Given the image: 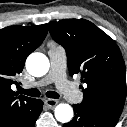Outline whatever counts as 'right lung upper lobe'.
I'll return each mask as SVG.
<instances>
[{"mask_svg":"<svg viewBox=\"0 0 127 127\" xmlns=\"http://www.w3.org/2000/svg\"><path fill=\"white\" fill-rule=\"evenodd\" d=\"M47 33V24L0 29V127H18L33 115L35 99L18 95L11 85L18 84L14 76L22 72L27 56Z\"/></svg>","mask_w":127,"mask_h":127,"instance_id":"cb5924a9","label":"right lung upper lobe"}]
</instances>
